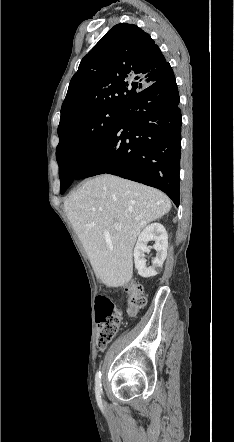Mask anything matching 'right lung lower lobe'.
Here are the masks:
<instances>
[{"instance_id": "1", "label": "right lung lower lobe", "mask_w": 234, "mask_h": 442, "mask_svg": "<svg viewBox=\"0 0 234 442\" xmlns=\"http://www.w3.org/2000/svg\"><path fill=\"white\" fill-rule=\"evenodd\" d=\"M179 102L174 73L168 65L154 83L121 106L108 136L75 166L74 179L117 175L158 188L179 206Z\"/></svg>"}]
</instances>
